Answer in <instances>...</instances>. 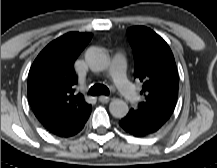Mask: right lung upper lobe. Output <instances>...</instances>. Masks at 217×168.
Returning <instances> with one entry per match:
<instances>
[{"instance_id": "cb5924a9", "label": "right lung upper lobe", "mask_w": 217, "mask_h": 168, "mask_svg": "<svg viewBox=\"0 0 217 168\" xmlns=\"http://www.w3.org/2000/svg\"><path fill=\"white\" fill-rule=\"evenodd\" d=\"M92 38L91 33L69 32L49 43L33 62L28 75V99L42 125L63 137L90 116L91 105L76 94L74 62Z\"/></svg>"}]
</instances>
